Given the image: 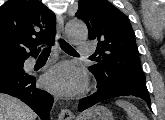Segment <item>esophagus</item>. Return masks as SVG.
<instances>
[{
  "instance_id": "esophagus-1",
  "label": "esophagus",
  "mask_w": 165,
  "mask_h": 120,
  "mask_svg": "<svg viewBox=\"0 0 165 120\" xmlns=\"http://www.w3.org/2000/svg\"><path fill=\"white\" fill-rule=\"evenodd\" d=\"M57 31L60 38L65 39L64 31V18L62 15L57 16ZM59 120H71L73 119V113L69 109H62L58 116Z\"/></svg>"
}]
</instances>
